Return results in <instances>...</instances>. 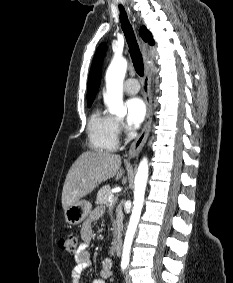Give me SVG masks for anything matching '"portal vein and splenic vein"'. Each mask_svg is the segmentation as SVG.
Segmentation results:
<instances>
[{"label": "portal vein and splenic vein", "instance_id": "1", "mask_svg": "<svg viewBox=\"0 0 233 283\" xmlns=\"http://www.w3.org/2000/svg\"><path fill=\"white\" fill-rule=\"evenodd\" d=\"M114 200H115L114 195H110V196L108 197V201H109V202H114Z\"/></svg>", "mask_w": 233, "mask_h": 283}]
</instances>
